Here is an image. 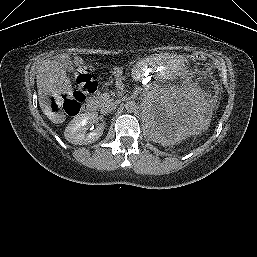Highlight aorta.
I'll use <instances>...</instances> for the list:
<instances>
[{
    "label": "aorta",
    "mask_w": 257,
    "mask_h": 257,
    "mask_svg": "<svg viewBox=\"0 0 257 257\" xmlns=\"http://www.w3.org/2000/svg\"><path fill=\"white\" fill-rule=\"evenodd\" d=\"M125 108H126L127 112L133 113L134 111L137 110V104H136L135 101H128V102L125 104Z\"/></svg>",
    "instance_id": "aorta-1"
}]
</instances>
